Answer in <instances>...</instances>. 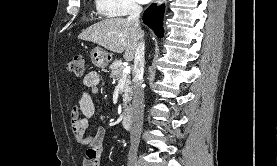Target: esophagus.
I'll return each mask as SVG.
<instances>
[{
	"instance_id": "34e87169",
	"label": "esophagus",
	"mask_w": 277,
	"mask_h": 166,
	"mask_svg": "<svg viewBox=\"0 0 277 166\" xmlns=\"http://www.w3.org/2000/svg\"><path fill=\"white\" fill-rule=\"evenodd\" d=\"M157 2H158V3H162V2H163V0H157Z\"/></svg>"
}]
</instances>
